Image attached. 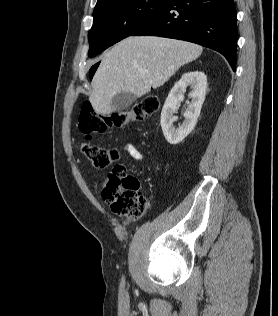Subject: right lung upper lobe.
<instances>
[{"mask_svg": "<svg viewBox=\"0 0 278 316\" xmlns=\"http://www.w3.org/2000/svg\"><path fill=\"white\" fill-rule=\"evenodd\" d=\"M104 1H106V0H98L96 5H98V4H100V3L104 2Z\"/></svg>", "mask_w": 278, "mask_h": 316, "instance_id": "right-lung-upper-lobe-1", "label": "right lung upper lobe"}]
</instances>
